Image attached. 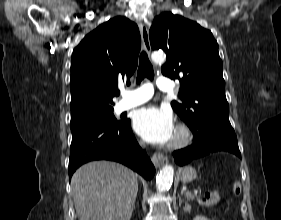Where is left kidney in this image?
<instances>
[{"instance_id":"5707ae66","label":"left kidney","mask_w":281,"mask_h":220,"mask_svg":"<svg viewBox=\"0 0 281 220\" xmlns=\"http://www.w3.org/2000/svg\"><path fill=\"white\" fill-rule=\"evenodd\" d=\"M193 220H209V219L204 216H196Z\"/></svg>"}]
</instances>
